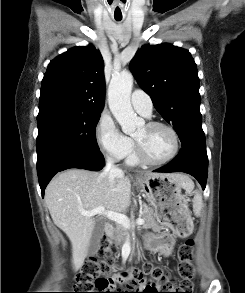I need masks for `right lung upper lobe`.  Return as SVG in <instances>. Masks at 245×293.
<instances>
[{
	"instance_id": "cb5924a9",
	"label": "right lung upper lobe",
	"mask_w": 245,
	"mask_h": 293,
	"mask_svg": "<svg viewBox=\"0 0 245 293\" xmlns=\"http://www.w3.org/2000/svg\"><path fill=\"white\" fill-rule=\"evenodd\" d=\"M105 100L104 62L92 45L52 60L42 80L39 111L63 108L100 112Z\"/></svg>"
}]
</instances>
